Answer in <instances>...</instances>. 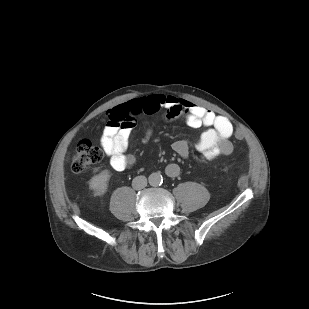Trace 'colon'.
I'll return each mask as SVG.
<instances>
[{"instance_id":"obj_1","label":"colon","mask_w":309,"mask_h":309,"mask_svg":"<svg viewBox=\"0 0 309 309\" xmlns=\"http://www.w3.org/2000/svg\"><path fill=\"white\" fill-rule=\"evenodd\" d=\"M121 125L128 124L134 126V118L129 114H125L121 120ZM235 137L237 139H242L243 135L241 131H236ZM103 158L102 150L93 145L89 140H81L75 150L72 157L71 168L75 173H81L86 171L91 166L99 163Z\"/></svg>"}]
</instances>
